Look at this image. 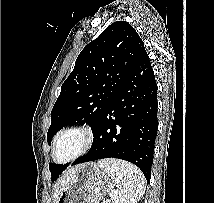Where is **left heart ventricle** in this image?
I'll return each mask as SVG.
<instances>
[{
	"label": "left heart ventricle",
	"instance_id": "1",
	"mask_svg": "<svg viewBox=\"0 0 214 203\" xmlns=\"http://www.w3.org/2000/svg\"><path fill=\"white\" fill-rule=\"evenodd\" d=\"M83 143V138L79 133H70L62 138L60 141L56 157L59 161H63L73 156L79 151Z\"/></svg>",
	"mask_w": 214,
	"mask_h": 203
}]
</instances>
